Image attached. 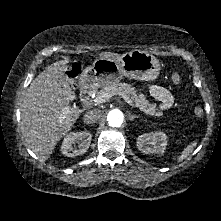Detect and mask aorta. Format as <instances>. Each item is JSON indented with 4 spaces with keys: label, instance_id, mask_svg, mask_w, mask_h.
<instances>
[{
    "label": "aorta",
    "instance_id": "1",
    "mask_svg": "<svg viewBox=\"0 0 221 221\" xmlns=\"http://www.w3.org/2000/svg\"><path fill=\"white\" fill-rule=\"evenodd\" d=\"M123 113L118 109H113L108 113L107 121L111 127H120L123 123Z\"/></svg>",
    "mask_w": 221,
    "mask_h": 221
}]
</instances>
